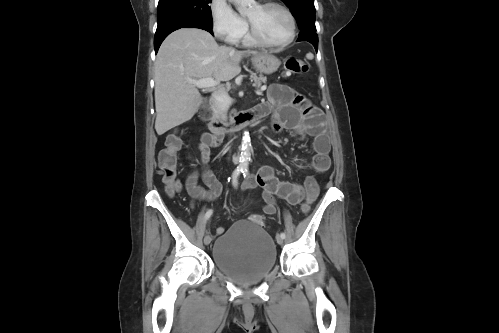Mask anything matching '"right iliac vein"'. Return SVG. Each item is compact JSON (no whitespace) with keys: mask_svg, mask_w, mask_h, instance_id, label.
Instances as JSON below:
<instances>
[{"mask_svg":"<svg viewBox=\"0 0 499 333\" xmlns=\"http://www.w3.org/2000/svg\"><path fill=\"white\" fill-rule=\"evenodd\" d=\"M210 242H211V237H210V235L206 234L204 237V244L209 245Z\"/></svg>","mask_w":499,"mask_h":333,"instance_id":"63e3f726","label":"right iliac vein"}]
</instances>
